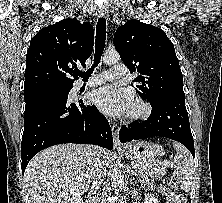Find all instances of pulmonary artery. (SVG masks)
I'll return each instance as SVG.
<instances>
[{
    "label": "pulmonary artery",
    "mask_w": 222,
    "mask_h": 203,
    "mask_svg": "<svg viewBox=\"0 0 222 203\" xmlns=\"http://www.w3.org/2000/svg\"><path fill=\"white\" fill-rule=\"evenodd\" d=\"M127 73V67L123 63L115 64L110 71H105L98 74H93L87 82H80V86H94L104 83L113 78H120L125 76Z\"/></svg>",
    "instance_id": "obj_1"
}]
</instances>
